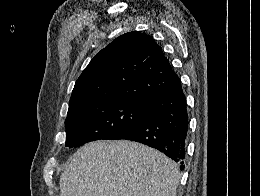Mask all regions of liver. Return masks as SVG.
<instances>
[{"label": "liver", "mask_w": 260, "mask_h": 196, "mask_svg": "<svg viewBox=\"0 0 260 196\" xmlns=\"http://www.w3.org/2000/svg\"><path fill=\"white\" fill-rule=\"evenodd\" d=\"M177 164L138 142L97 140L71 156L61 196H176Z\"/></svg>", "instance_id": "6515ba94"}]
</instances>
